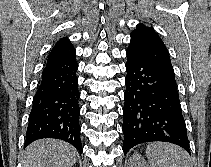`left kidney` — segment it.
Returning a JSON list of instances; mask_svg holds the SVG:
<instances>
[{"mask_svg":"<svg viewBox=\"0 0 211 167\" xmlns=\"http://www.w3.org/2000/svg\"><path fill=\"white\" fill-rule=\"evenodd\" d=\"M127 167H149V166L140 154L135 153L130 157Z\"/></svg>","mask_w":211,"mask_h":167,"instance_id":"5707ae66","label":"left kidney"}]
</instances>
